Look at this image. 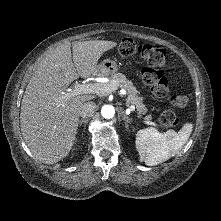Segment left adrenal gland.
Instances as JSON below:
<instances>
[{
    "instance_id": "left-adrenal-gland-1",
    "label": "left adrenal gland",
    "mask_w": 221,
    "mask_h": 221,
    "mask_svg": "<svg viewBox=\"0 0 221 221\" xmlns=\"http://www.w3.org/2000/svg\"><path fill=\"white\" fill-rule=\"evenodd\" d=\"M120 114L122 115V120L124 121L125 126L128 129V123H130L131 118H129V116H127L122 109H120Z\"/></svg>"
}]
</instances>
